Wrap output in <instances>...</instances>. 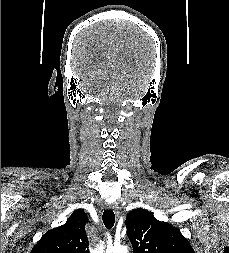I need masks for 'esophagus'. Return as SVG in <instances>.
<instances>
[{
  "label": "esophagus",
  "instance_id": "1",
  "mask_svg": "<svg viewBox=\"0 0 229 253\" xmlns=\"http://www.w3.org/2000/svg\"><path fill=\"white\" fill-rule=\"evenodd\" d=\"M108 209H112L117 215H119V206L117 204H108Z\"/></svg>",
  "mask_w": 229,
  "mask_h": 253
}]
</instances>
